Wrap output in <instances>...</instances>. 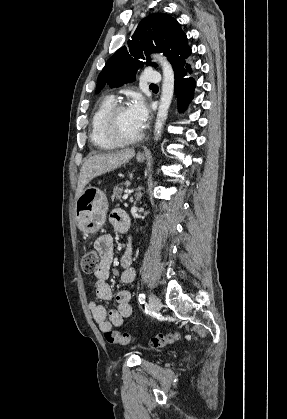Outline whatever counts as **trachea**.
<instances>
[{
  "label": "trachea",
  "mask_w": 287,
  "mask_h": 419,
  "mask_svg": "<svg viewBox=\"0 0 287 419\" xmlns=\"http://www.w3.org/2000/svg\"><path fill=\"white\" fill-rule=\"evenodd\" d=\"M150 86H155V87H156V85H155V84H151Z\"/></svg>",
  "instance_id": "1"
}]
</instances>
